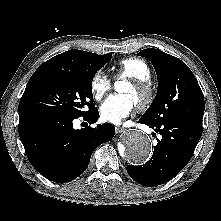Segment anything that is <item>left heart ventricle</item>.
Segmentation results:
<instances>
[{
	"instance_id": "b2bd125f",
	"label": "left heart ventricle",
	"mask_w": 221,
	"mask_h": 221,
	"mask_svg": "<svg viewBox=\"0 0 221 221\" xmlns=\"http://www.w3.org/2000/svg\"><path fill=\"white\" fill-rule=\"evenodd\" d=\"M119 92L121 94L128 95L132 101L136 104V102L140 99L141 94L137 91L131 84L125 83L121 86Z\"/></svg>"
}]
</instances>
